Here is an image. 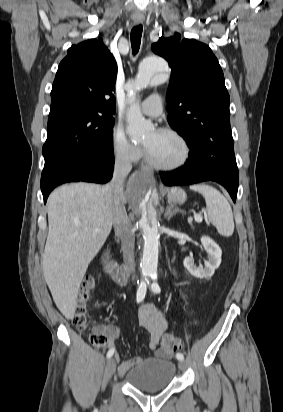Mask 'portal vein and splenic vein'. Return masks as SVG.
Here are the masks:
<instances>
[{"mask_svg":"<svg viewBox=\"0 0 283 412\" xmlns=\"http://www.w3.org/2000/svg\"><path fill=\"white\" fill-rule=\"evenodd\" d=\"M194 219L196 222L201 223L202 222V217L198 214H194Z\"/></svg>","mask_w":283,"mask_h":412,"instance_id":"portal-vein-and-splenic-vein-1","label":"portal vein and splenic vein"}]
</instances>
